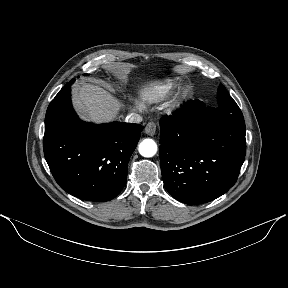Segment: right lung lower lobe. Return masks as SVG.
Segmentation results:
<instances>
[{
    "label": "right lung lower lobe",
    "instance_id": "1",
    "mask_svg": "<svg viewBox=\"0 0 288 288\" xmlns=\"http://www.w3.org/2000/svg\"><path fill=\"white\" fill-rule=\"evenodd\" d=\"M51 101L45 117L44 155L59 186L87 201H109L127 181V165L143 127L133 123L94 125L72 109L70 86Z\"/></svg>",
    "mask_w": 288,
    "mask_h": 288
}]
</instances>
